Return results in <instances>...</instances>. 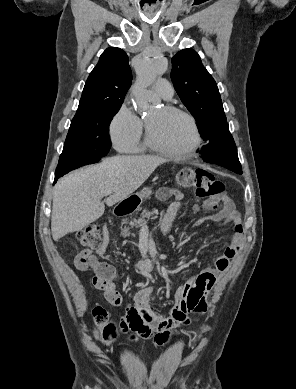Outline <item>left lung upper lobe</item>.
I'll list each match as a JSON object with an SVG mask.
<instances>
[{"mask_svg":"<svg viewBox=\"0 0 296 389\" xmlns=\"http://www.w3.org/2000/svg\"><path fill=\"white\" fill-rule=\"evenodd\" d=\"M171 79L182 102L197 120L203 140L208 142L216 130L227 124V119L217 84L196 51L184 49L172 58Z\"/></svg>","mask_w":296,"mask_h":389,"instance_id":"5c2ea615","label":"left lung upper lobe"}]
</instances>
